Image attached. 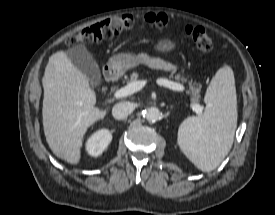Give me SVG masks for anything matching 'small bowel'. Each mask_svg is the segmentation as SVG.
<instances>
[{"mask_svg": "<svg viewBox=\"0 0 275 215\" xmlns=\"http://www.w3.org/2000/svg\"><path fill=\"white\" fill-rule=\"evenodd\" d=\"M161 68L168 72H172L174 70V67L172 65H170L169 63L162 64Z\"/></svg>", "mask_w": 275, "mask_h": 215, "instance_id": "small-bowel-1", "label": "small bowel"}]
</instances>
